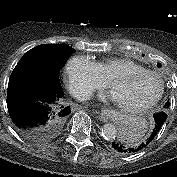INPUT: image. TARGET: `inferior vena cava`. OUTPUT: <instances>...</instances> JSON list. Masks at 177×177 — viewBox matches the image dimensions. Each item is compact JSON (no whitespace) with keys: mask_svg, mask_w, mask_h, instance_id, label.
<instances>
[{"mask_svg":"<svg viewBox=\"0 0 177 177\" xmlns=\"http://www.w3.org/2000/svg\"><path fill=\"white\" fill-rule=\"evenodd\" d=\"M92 95L91 91H82V92H78L75 97L77 98V100L79 101H86L88 100Z\"/></svg>","mask_w":177,"mask_h":177,"instance_id":"602c4592","label":"inferior vena cava"}]
</instances>
